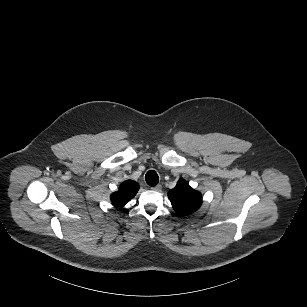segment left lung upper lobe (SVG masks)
Here are the masks:
<instances>
[{"mask_svg": "<svg viewBox=\"0 0 307 307\" xmlns=\"http://www.w3.org/2000/svg\"><path fill=\"white\" fill-rule=\"evenodd\" d=\"M173 209L178 214H189L196 211L202 204V195L194 190L189 184L181 179L175 188L168 192Z\"/></svg>", "mask_w": 307, "mask_h": 307, "instance_id": "obj_1", "label": "left lung upper lobe"}]
</instances>
